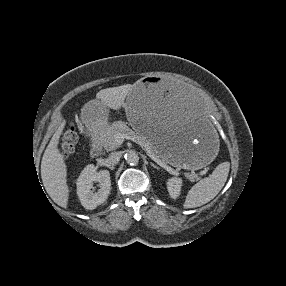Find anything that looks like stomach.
<instances>
[{"mask_svg": "<svg viewBox=\"0 0 286 286\" xmlns=\"http://www.w3.org/2000/svg\"><path fill=\"white\" fill-rule=\"evenodd\" d=\"M125 109L129 125L172 166L197 170L215 158L216 135L207 104L189 89L144 77L127 95ZM111 113L109 102L95 96L81 104L78 115L92 132L106 128Z\"/></svg>", "mask_w": 286, "mask_h": 286, "instance_id": "0dacf381", "label": "stomach"}]
</instances>
